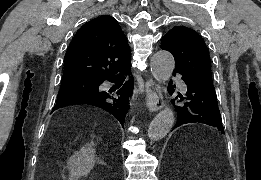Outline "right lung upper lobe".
I'll return each mask as SVG.
<instances>
[{"label": "right lung upper lobe", "mask_w": 261, "mask_h": 180, "mask_svg": "<svg viewBox=\"0 0 261 180\" xmlns=\"http://www.w3.org/2000/svg\"><path fill=\"white\" fill-rule=\"evenodd\" d=\"M130 47L118 22L101 16L85 23L72 39L64 59L62 81L104 80L130 65Z\"/></svg>", "instance_id": "1"}]
</instances>
